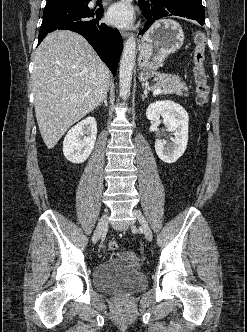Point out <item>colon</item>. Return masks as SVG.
<instances>
[{
  "label": "colon",
  "instance_id": "obj_1",
  "mask_svg": "<svg viewBox=\"0 0 247 332\" xmlns=\"http://www.w3.org/2000/svg\"><path fill=\"white\" fill-rule=\"evenodd\" d=\"M194 51L192 55L193 60V78L195 84L196 103L203 106L207 103L209 95V86L207 84V76L204 67L205 51H206V36L202 31H195L193 34ZM108 249L115 251L118 249L116 241L108 243Z\"/></svg>",
  "mask_w": 247,
  "mask_h": 332
}]
</instances>
